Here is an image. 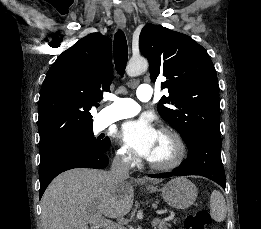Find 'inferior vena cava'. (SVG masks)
I'll list each match as a JSON object with an SVG mask.
<instances>
[{
	"mask_svg": "<svg viewBox=\"0 0 261 229\" xmlns=\"http://www.w3.org/2000/svg\"><path fill=\"white\" fill-rule=\"evenodd\" d=\"M129 167V159L125 155H118V157H114L113 159L109 175L114 177L116 183H122L123 179H128L129 177Z\"/></svg>",
	"mask_w": 261,
	"mask_h": 229,
	"instance_id": "obj_1",
	"label": "inferior vena cava"
}]
</instances>
